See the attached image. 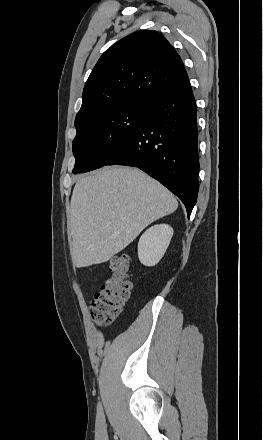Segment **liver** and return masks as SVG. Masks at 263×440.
Returning <instances> with one entry per match:
<instances>
[{
    "instance_id": "obj_1",
    "label": "liver",
    "mask_w": 263,
    "mask_h": 440,
    "mask_svg": "<svg viewBox=\"0 0 263 440\" xmlns=\"http://www.w3.org/2000/svg\"><path fill=\"white\" fill-rule=\"evenodd\" d=\"M174 195L136 168L106 167L76 183L70 254L76 267L108 261L152 222L176 211Z\"/></svg>"
}]
</instances>
